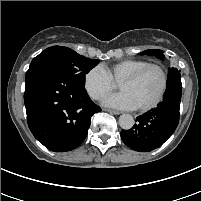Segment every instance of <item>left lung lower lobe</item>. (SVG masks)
I'll list each match as a JSON object with an SVG mask.
<instances>
[{
	"mask_svg": "<svg viewBox=\"0 0 201 201\" xmlns=\"http://www.w3.org/2000/svg\"><path fill=\"white\" fill-rule=\"evenodd\" d=\"M181 94V78L172 77L167 82L163 101L138 116L131 129L121 131L124 144L135 151L149 152L166 142L179 122Z\"/></svg>",
	"mask_w": 201,
	"mask_h": 201,
	"instance_id": "1",
	"label": "left lung lower lobe"
}]
</instances>
